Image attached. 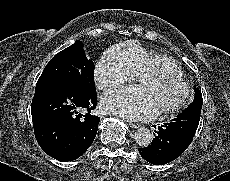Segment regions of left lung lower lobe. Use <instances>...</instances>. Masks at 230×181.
<instances>
[{"mask_svg": "<svg viewBox=\"0 0 230 181\" xmlns=\"http://www.w3.org/2000/svg\"><path fill=\"white\" fill-rule=\"evenodd\" d=\"M199 120V113L187 111L170 123L158 126L155 134L153 133L155 138L152 143L148 147L138 149L140 155L154 165H163L175 160L192 142Z\"/></svg>", "mask_w": 230, "mask_h": 181, "instance_id": "1", "label": "left lung lower lobe"}]
</instances>
